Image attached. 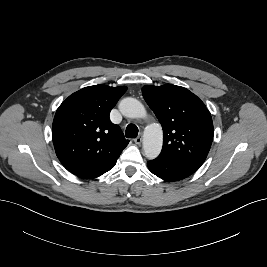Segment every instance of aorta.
I'll use <instances>...</instances> for the list:
<instances>
[{
	"label": "aorta",
	"mask_w": 267,
	"mask_h": 267,
	"mask_svg": "<svg viewBox=\"0 0 267 267\" xmlns=\"http://www.w3.org/2000/svg\"><path fill=\"white\" fill-rule=\"evenodd\" d=\"M119 110L128 118H142L146 110L141 102L135 98L127 97L120 101ZM163 144V131L158 123L149 124L144 130L143 150L145 156L152 160L158 157Z\"/></svg>",
	"instance_id": "762f6f07"
}]
</instances>
